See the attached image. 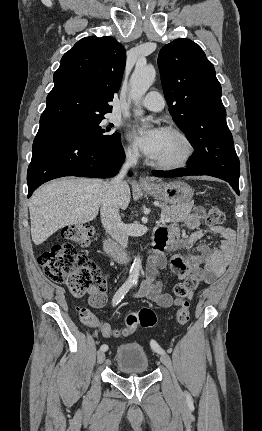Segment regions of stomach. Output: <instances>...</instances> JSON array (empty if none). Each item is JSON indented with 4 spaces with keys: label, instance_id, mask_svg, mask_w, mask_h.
<instances>
[{
    "label": "stomach",
    "instance_id": "0dacf381",
    "mask_svg": "<svg viewBox=\"0 0 262 431\" xmlns=\"http://www.w3.org/2000/svg\"><path fill=\"white\" fill-rule=\"evenodd\" d=\"M143 189L153 198L171 206L189 205L194 194V190L181 180L155 183L151 186L143 187Z\"/></svg>",
    "mask_w": 262,
    "mask_h": 431
}]
</instances>
